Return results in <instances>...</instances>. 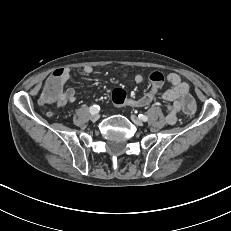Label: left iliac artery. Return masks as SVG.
<instances>
[{"label":"left iliac artery","instance_id":"left-iliac-artery-1","mask_svg":"<svg viewBox=\"0 0 231 231\" xmlns=\"http://www.w3.org/2000/svg\"><path fill=\"white\" fill-rule=\"evenodd\" d=\"M139 117L144 122L148 121V117L146 115L140 114Z\"/></svg>","mask_w":231,"mask_h":231}]
</instances>
